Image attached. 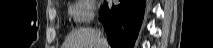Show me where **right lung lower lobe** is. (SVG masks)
<instances>
[{
  "instance_id": "1",
  "label": "right lung lower lobe",
  "mask_w": 213,
  "mask_h": 48,
  "mask_svg": "<svg viewBox=\"0 0 213 48\" xmlns=\"http://www.w3.org/2000/svg\"><path fill=\"white\" fill-rule=\"evenodd\" d=\"M118 6L100 8L99 17L105 25L112 48H132L142 23L146 0H119Z\"/></svg>"
}]
</instances>
